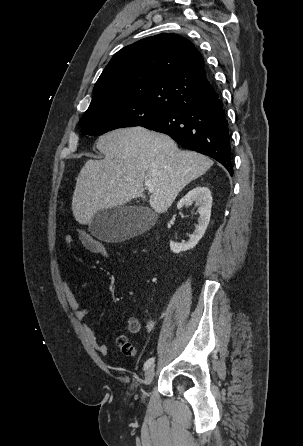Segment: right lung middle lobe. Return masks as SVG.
<instances>
[{
    "mask_svg": "<svg viewBox=\"0 0 303 446\" xmlns=\"http://www.w3.org/2000/svg\"><path fill=\"white\" fill-rule=\"evenodd\" d=\"M169 107L152 106L140 102L114 103L88 109L80 120L81 132L98 136L108 131L141 126L168 111Z\"/></svg>",
    "mask_w": 303,
    "mask_h": 446,
    "instance_id": "right-lung-middle-lobe-1",
    "label": "right lung middle lobe"
}]
</instances>
